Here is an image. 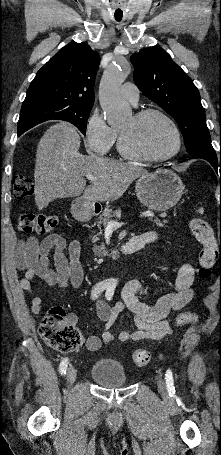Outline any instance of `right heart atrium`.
<instances>
[{
  "label": "right heart atrium",
  "mask_w": 221,
  "mask_h": 455,
  "mask_svg": "<svg viewBox=\"0 0 221 455\" xmlns=\"http://www.w3.org/2000/svg\"><path fill=\"white\" fill-rule=\"evenodd\" d=\"M117 132L98 112H92L85 125V140L89 151L97 155L107 154L114 145Z\"/></svg>",
  "instance_id": "obj_1"
}]
</instances>
